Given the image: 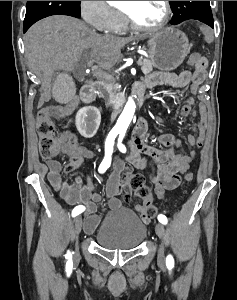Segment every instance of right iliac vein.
<instances>
[{"instance_id": "63e3f726", "label": "right iliac vein", "mask_w": 237, "mask_h": 300, "mask_svg": "<svg viewBox=\"0 0 237 300\" xmlns=\"http://www.w3.org/2000/svg\"><path fill=\"white\" fill-rule=\"evenodd\" d=\"M81 229H82V218L81 216H78L76 217L75 219V236H76V246H78V243H77V238L81 232ZM76 253L79 254V249L76 248Z\"/></svg>"}]
</instances>
